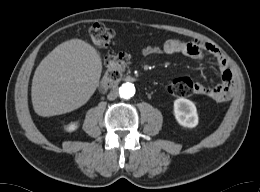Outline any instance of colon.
I'll list each match as a JSON object with an SVG mask.
<instances>
[{
  "mask_svg": "<svg viewBox=\"0 0 260 192\" xmlns=\"http://www.w3.org/2000/svg\"><path fill=\"white\" fill-rule=\"evenodd\" d=\"M90 39L98 49H104L112 42L114 33L103 24L95 23L89 30ZM129 61L127 54L112 55L106 60V71L100 83V90L106 92L120 80ZM170 94L184 97L194 93V83L186 77L174 79L168 86Z\"/></svg>",
  "mask_w": 260,
  "mask_h": 192,
  "instance_id": "colon-1",
  "label": "colon"
}]
</instances>
